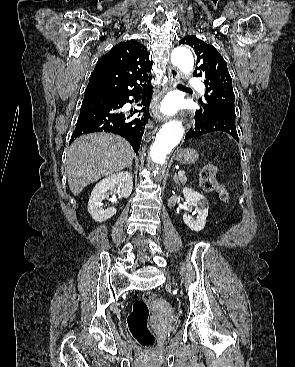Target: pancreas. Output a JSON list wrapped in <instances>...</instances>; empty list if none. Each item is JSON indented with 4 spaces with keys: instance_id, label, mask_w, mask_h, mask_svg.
I'll return each instance as SVG.
<instances>
[{
    "instance_id": "obj_1",
    "label": "pancreas",
    "mask_w": 295,
    "mask_h": 367,
    "mask_svg": "<svg viewBox=\"0 0 295 367\" xmlns=\"http://www.w3.org/2000/svg\"><path fill=\"white\" fill-rule=\"evenodd\" d=\"M179 181L182 183V184H185L186 181H187V177L185 175H182V176H179Z\"/></svg>"
}]
</instances>
